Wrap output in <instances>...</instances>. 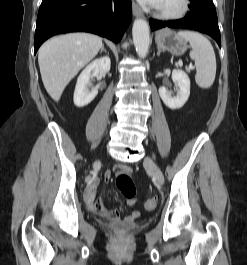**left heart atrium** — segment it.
Returning <instances> with one entry per match:
<instances>
[{"label": "left heart atrium", "mask_w": 247, "mask_h": 265, "mask_svg": "<svg viewBox=\"0 0 247 265\" xmlns=\"http://www.w3.org/2000/svg\"><path fill=\"white\" fill-rule=\"evenodd\" d=\"M142 4L150 6H158L160 0H139Z\"/></svg>", "instance_id": "1"}]
</instances>
